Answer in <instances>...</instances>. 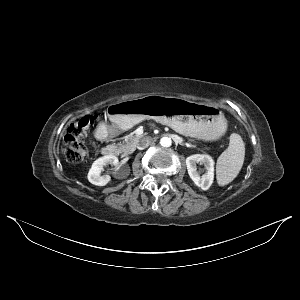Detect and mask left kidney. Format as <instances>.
I'll return each mask as SVG.
<instances>
[{
  "instance_id": "5707ae66",
  "label": "left kidney",
  "mask_w": 300,
  "mask_h": 300,
  "mask_svg": "<svg viewBox=\"0 0 300 300\" xmlns=\"http://www.w3.org/2000/svg\"><path fill=\"white\" fill-rule=\"evenodd\" d=\"M197 163L204 165L205 173L200 175L197 171ZM188 174L193 182L202 190H207L213 183L214 179V161L207 154H195L186 158Z\"/></svg>"
}]
</instances>
